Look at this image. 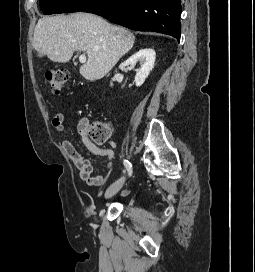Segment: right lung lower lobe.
<instances>
[{"label": "right lung lower lobe", "mask_w": 255, "mask_h": 272, "mask_svg": "<svg viewBox=\"0 0 255 272\" xmlns=\"http://www.w3.org/2000/svg\"><path fill=\"white\" fill-rule=\"evenodd\" d=\"M137 31H154L180 40L181 0H96L81 10Z\"/></svg>", "instance_id": "right-lung-lower-lobe-1"}]
</instances>
